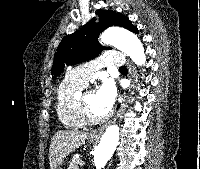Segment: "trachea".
Wrapping results in <instances>:
<instances>
[{
  "label": "trachea",
  "mask_w": 200,
  "mask_h": 169,
  "mask_svg": "<svg viewBox=\"0 0 200 169\" xmlns=\"http://www.w3.org/2000/svg\"><path fill=\"white\" fill-rule=\"evenodd\" d=\"M119 70H121V71H128L125 66L120 67Z\"/></svg>",
  "instance_id": "3493384b"
}]
</instances>
